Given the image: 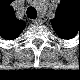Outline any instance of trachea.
<instances>
[{
    "label": "trachea",
    "instance_id": "3493384b",
    "mask_svg": "<svg viewBox=\"0 0 80 80\" xmlns=\"http://www.w3.org/2000/svg\"><path fill=\"white\" fill-rule=\"evenodd\" d=\"M26 13L30 19H35L37 17V11L34 7H29Z\"/></svg>",
    "mask_w": 80,
    "mask_h": 80
}]
</instances>
